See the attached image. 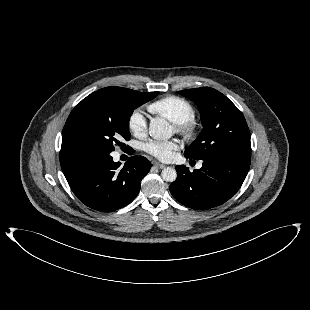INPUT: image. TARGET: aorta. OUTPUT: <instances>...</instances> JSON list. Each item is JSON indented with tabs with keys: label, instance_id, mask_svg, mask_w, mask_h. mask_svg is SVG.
Listing matches in <instances>:
<instances>
[{
	"label": "aorta",
	"instance_id": "1",
	"mask_svg": "<svg viewBox=\"0 0 310 310\" xmlns=\"http://www.w3.org/2000/svg\"><path fill=\"white\" fill-rule=\"evenodd\" d=\"M149 134L153 139H169L173 135V129L164 118L156 117L150 121ZM161 176L166 182H174L177 172L172 167H166L162 170Z\"/></svg>",
	"mask_w": 310,
	"mask_h": 310
}]
</instances>
